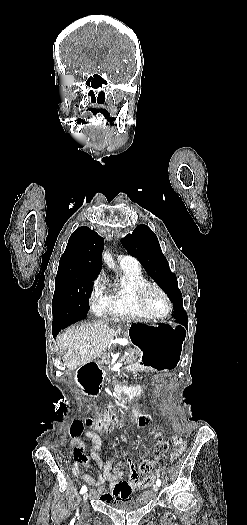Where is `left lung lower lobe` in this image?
Instances as JSON below:
<instances>
[{"mask_svg":"<svg viewBox=\"0 0 247 525\" xmlns=\"http://www.w3.org/2000/svg\"><path fill=\"white\" fill-rule=\"evenodd\" d=\"M183 325H185V326H186V325H187V323H184Z\"/></svg>","mask_w":247,"mask_h":525,"instance_id":"0a47b994","label":"left lung lower lobe"}]
</instances>
